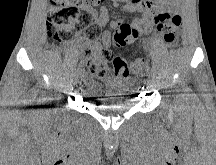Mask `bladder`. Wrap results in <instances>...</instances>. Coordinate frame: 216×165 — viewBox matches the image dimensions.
<instances>
[{
  "label": "bladder",
  "instance_id": "31cf9c89",
  "mask_svg": "<svg viewBox=\"0 0 216 165\" xmlns=\"http://www.w3.org/2000/svg\"><path fill=\"white\" fill-rule=\"evenodd\" d=\"M83 86L88 100H94L95 111H122L134 105V98L127 94L131 83L124 76L85 75Z\"/></svg>",
  "mask_w": 216,
  "mask_h": 165
}]
</instances>
